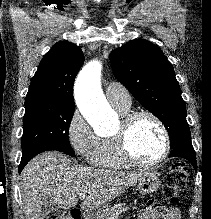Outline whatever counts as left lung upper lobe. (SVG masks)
<instances>
[{"mask_svg":"<svg viewBox=\"0 0 211 219\" xmlns=\"http://www.w3.org/2000/svg\"><path fill=\"white\" fill-rule=\"evenodd\" d=\"M117 80L165 126L170 148L191 138L185 103L171 63L147 40L129 42L110 54Z\"/></svg>","mask_w":211,"mask_h":219,"instance_id":"obj_1","label":"left lung upper lobe"}]
</instances>
